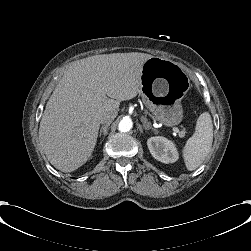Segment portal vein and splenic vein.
<instances>
[{"mask_svg": "<svg viewBox=\"0 0 251 251\" xmlns=\"http://www.w3.org/2000/svg\"><path fill=\"white\" fill-rule=\"evenodd\" d=\"M104 97H105L104 94H100L97 98H98L99 100H101V99L104 98ZM172 129H173L174 131H176V133H179V130H178V126H177V125L172 126Z\"/></svg>", "mask_w": 251, "mask_h": 251, "instance_id": "obj_1", "label": "portal vein and splenic vein"}]
</instances>
